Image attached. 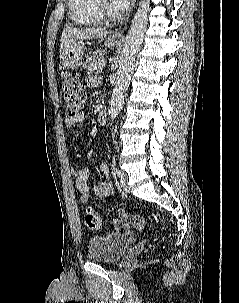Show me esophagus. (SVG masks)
I'll return each instance as SVG.
<instances>
[{
    "label": "esophagus",
    "mask_w": 239,
    "mask_h": 303,
    "mask_svg": "<svg viewBox=\"0 0 239 303\" xmlns=\"http://www.w3.org/2000/svg\"><path fill=\"white\" fill-rule=\"evenodd\" d=\"M125 29H126V25L123 26L120 30H116V31L112 32L110 35L111 38L117 39V40L123 39V33H124Z\"/></svg>",
    "instance_id": "obj_1"
}]
</instances>
